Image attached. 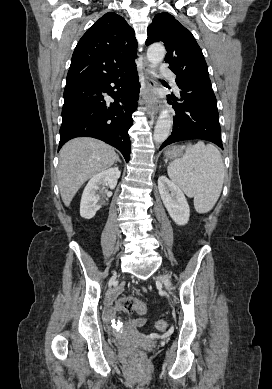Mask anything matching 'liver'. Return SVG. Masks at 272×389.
<instances>
[{
    "label": "liver",
    "instance_id": "6515ba94",
    "mask_svg": "<svg viewBox=\"0 0 272 389\" xmlns=\"http://www.w3.org/2000/svg\"><path fill=\"white\" fill-rule=\"evenodd\" d=\"M59 156L58 185L66 206L88 179L111 167L117 158L110 145L93 138L67 142Z\"/></svg>",
    "mask_w": 272,
    "mask_h": 389
}]
</instances>
